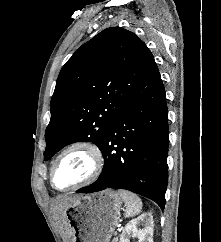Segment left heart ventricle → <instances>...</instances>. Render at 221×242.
Instances as JSON below:
<instances>
[{"label":"left heart ventricle","mask_w":221,"mask_h":242,"mask_svg":"<svg viewBox=\"0 0 221 242\" xmlns=\"http://www.w3.org/2000/svg\"><path fill=\"white\" fill-rule=\"evenodd\" d=\"M92 170V160L89 154L82 149L67 152L57 163L53 180L58 188H68L84 178Z\"/></svg>","instance_id":"1"}]
</instances>
